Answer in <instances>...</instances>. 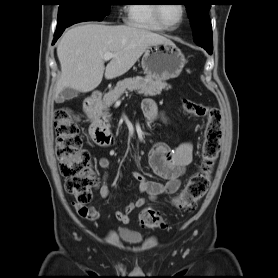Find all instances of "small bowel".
<instances>
[{"instance_id": "c3829d8e", "label": "small bowel", "mask_w": 278, "mask_h": 278, "mask_svg": "<svg viewBox=\"0 0 278 278\" xmlns=\"http://www.w3.org/2000/svg\"><path fill=\"white\" fill-rule=\"evenodd\" d=\"M143 112L149 120H164V115L159 111L156 103L151 99L143 102ZM149 164L154 173L166 180L165 183L149 180L140 172H133V177L139 183V190L147 194V198H139L129 203L124 210L117 211L115 216L123 224L130 222V214L147 203L154 201L158 196L164 194H174L181 186V177L185 168L193 160V146L189 141L182 142L175 148H170L162 142L155 143L149 151ZM100 168L108 170L110 161L106 157H101L98 161ZM108 173L102 177V181L95 185L101 197L106 198L110 195V188L107 184ZM78 214L88 220H96L99 212L91 206L74 203Z\"/></svg>"}]
</instances>
